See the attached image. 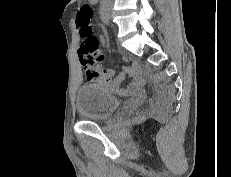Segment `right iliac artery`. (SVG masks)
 Instances as JSON below:
<instances>
[{
    "instance_id": "1",
    "label": "right iliac artery",
    "mask_w": 231,
    "mask_h": 177,
    "mask_svg": "<svg viewBox=\"0 0 231 177\" xmlns=\"http://www.w3.org/2000/svg\"><path fill=\"white\" fill-rule=\"evenodd\" d=\"M100 17L104 24H109V16L107 12V4L103 3L100 7Z\"/></svg>"
}]
</instances>
